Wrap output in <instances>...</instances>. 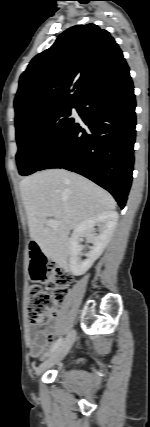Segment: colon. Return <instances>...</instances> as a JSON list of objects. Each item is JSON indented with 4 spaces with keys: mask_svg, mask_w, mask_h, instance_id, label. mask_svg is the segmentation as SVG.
Segmentation results:
<instances>
[{
    "mask_svg": "<svg viewBox=\"0 0 150 427\" xmlns=\"http://www.w3.org/2000/svg\"><path fill=\"white\" fill-rule=\"evenodd\" d=\"M30 276L35 282L28 290L27 316L31 324H46L58 312L73 278L62 266L49 260L36 242L29 248ZM46 283L43 290L38 283Z\"/></svg>",
    "mask_w": 150,
    "mask_h": 427,
    "instance_id": "colon-1",
    "label": "colon"
}]
</instances>
